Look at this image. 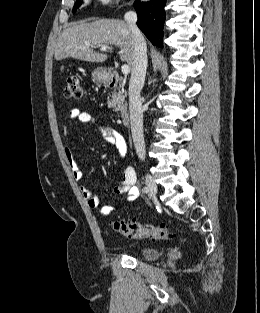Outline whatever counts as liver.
<instances>
[{
    "instance_id": "6515ba94",
    "label": "liver",
    "mask_w": 260,
    "mask_h": 313,
    "mask_svg": "<svg viewBox=\"0 0 260 313\" xmlns=\"http://www.w3.org/2000/svg\"><path fill=\"white\" fill-rule=\"evenodd\" d=\"M89 44V47L86 46ZM115 45L120 48L121 61L133 68V37L129 25L120 19H98L79 22L65 29L55 49V59L72 57L83 61L104 62L107 54L93 50L95 47Z\"/></svg>"
}]
</instances>
